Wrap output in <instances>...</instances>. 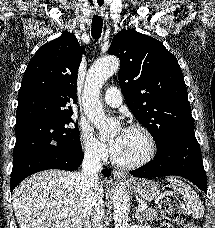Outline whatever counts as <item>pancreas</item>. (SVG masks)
Wrapping results in <instances>:
<instances>
[{"instance_id":"cf45deb5","label":"pancreas","mask_w":215,"mask_h":228,"mask_svg":"<svg viewBox=\"0 0 215 228\" xmlns=\"http://www.w3.org/2000/svg\"><path fill=\"white\" fill-rule=\"evenodd\" d=\"M141 216H143L145 222L146 220H148V222H152V220H158L157 212L154 210V208H147L145 212H141Z\"/></svg>"}]
</instances>
